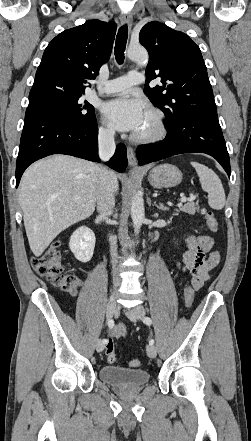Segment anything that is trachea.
<instances>
[{"label": "trachea", "instance_id": "obj_1", "mask_svg": "<svg viewBox=\"0 0 251 441\" xmlns=\"http://www.w3.org/2000/svg\"><path fill=\"white\" fill-rule=\"evenodd\" d=\"M127 36H128V27L127 25H123L118 30L116 36L115 48H114L115 59L118 62V64H122L125 58L124 52L127 43Z\"/></svg>", "mask_w": 251, "mask_h": 441}]
</instances>
